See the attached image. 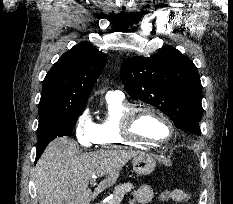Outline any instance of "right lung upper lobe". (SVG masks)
<instances>
[{
	"instance_id": "right-lung-upper-lobe-1",
	"label": "right lung upper lobe",
	"mask_w": 233,
	"mask_h": 204,
	"mask_svg": "<svg viewBox=\"0 0 233 204\" xmlns=\"http://www.w3.org/2000/svg\"><path fill=\"white\" fill-rule=\"evenodd\" d=\"M106 60V55L89 42L64 53L44 78L39 117L84 109Z\"/></svg>"
}]
</instances>
